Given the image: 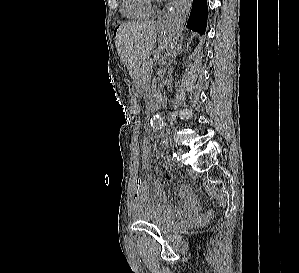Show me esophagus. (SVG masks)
I'll list each match as a JSON object with an SVG mask.
<instances>
[{
	"instance_id": "1",
	"label": "esophagus",
	"mask_w": 299,
	"mask_h": 273,
	"mask_svg": "<svg viewBox=\"0 0 299 273\" xmlns=\"http://www.w3.org/2000/svg\"><path fill=\"white\" fill-rule=\"evenodd\" d=\"M167 21V13H164L163 15H161L158 19V23L162 24L165 23Z\"/></svg>"
}]
</instances>
